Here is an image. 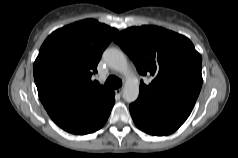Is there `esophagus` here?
Returning <instances> with one entry per match:
<instances>
[{
    "label": "esophagus",
    "instance_id": "34e87169",
    "mask_svg": "<svg viewBox=\"0 0 238 158\" xmlns=\"http://www.w3.org/2000/svg\"><path fill=\"white\" fill-rule=\"evenodd\" d=\"M119 95H122L123 94V88H119V89H117V91H116Z\"/></svg>",
    "mask_w": 238,
    "mask_h": 158
}]
</instances>
